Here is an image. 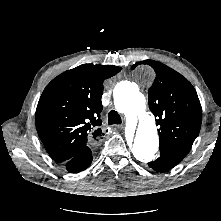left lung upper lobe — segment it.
Segmentation results:
<instances>
[{
	"instance_id": "5c2ea615",
	"label": "left lung upper lobe",
	"mask_w": 221,
	"mask_h": 221,
	"mask_svg": "<svg viewBox=\"0 0 221 221\" xmlns=\"http://www.w3.org/2000/svg\"><path fill=\"white\" fill-rule=\"evenodd\" d=\"M138 64H148L156 72L148 102L160 126V148L187 154L202 122L201 104L194 87L181 74L160 62L145 60L132 69Z\"/></svg>"
}]
</instances>
